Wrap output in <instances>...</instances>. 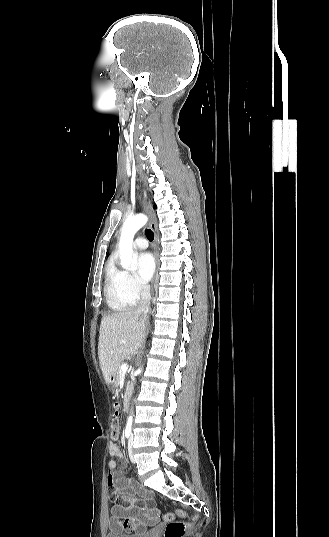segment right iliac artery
<instances>
[{
  "mask_svg": "<svg viewBox=\"0 0 329 537\" xmlns=\"http://www.w3.org/2000/svg\"><path fill=\"white\" fill-rule=\"evenodd\" d=\"M130 435H131V429H130V428H126V430H125V437H126V438H129Z\"/></svg>",
  "mask_w": 329,
  "mask_h": 537,
  "instance_id": "82829eb1",
  "label": "right iliac artery"
}]
</instances>
